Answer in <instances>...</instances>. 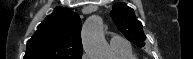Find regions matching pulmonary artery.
Segmentation results:
<instances>
[{
    "label": "pulmonary artery",
    "instance_id": "obj_1",
    "mask_svg": "<svg viewBox=\"0 0 193 59\" xmlns=\"http://www.w3.org/2000/svg\"><path fill=\"white\" fill-rule=\"evenodd\" d=\"M110 44L114 51H121V50H128L131 49V46L129 43L125 41V39L118 35V34H112L110 38Z\"/></svg>",
    "mask_w": 193,
    "mask_h": 59
}]
</instances>
